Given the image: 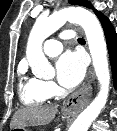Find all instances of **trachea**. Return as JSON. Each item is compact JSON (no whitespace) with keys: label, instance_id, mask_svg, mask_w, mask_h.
I'll return each mask as SVG.
<instances>
[{"label":"trachea","instance_id":"3493384b","mask_svg":"<svg viewBox=\"0 0 117 131\" xmlns=\"http://www.w3.org/2000/svg\"><path fill=\"white\" fill-rule=\"evenodd\" d=\"M79 43H85V40L83 38H78Z\"/></svg>","mask_w":117,"mask_h":131}]
</instances>
